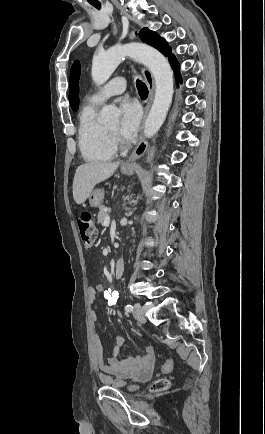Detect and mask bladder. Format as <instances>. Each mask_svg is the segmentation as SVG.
Instances as JSON below:
<instances>
[{
  "label": "bladder",
  "mask_w": 265,
  "mask_h": 434,
  "mask_svg": "<svg viewBox=\"0 0 265 434\" xmlns=\"http://www.w3.org/2000/svg\"><path fill=\"white\" fill-rule=\"evenodd\" d=\"M138 388H139V385H138V384H129V385H127V386L124 388V390H125L126 392L131 393V392L136 391Z\"/></svg>",
  "instance_id": "obj_1"
}]
</instances>
